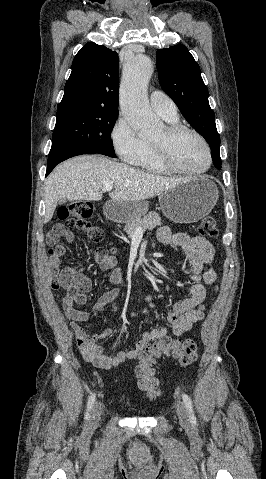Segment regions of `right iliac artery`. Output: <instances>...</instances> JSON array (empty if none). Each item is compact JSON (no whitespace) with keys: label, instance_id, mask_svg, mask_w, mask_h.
I'll return each instance as SVG.
<instances>
[{"label":"right iliac artery","instance_id":"82829eb1","mask_svg":"<svg viewBox=\"0 0 266 479\" xmlns=\"http://www.w3.org/2000/svg\"><path fill=\"white\" fill-rule=\"evenodd\" d=\"M95 398H96V394L95 393H92L91 396L89 397L88 399V402H87V412H86V415H85V418L86 419H89L90 418V411H91V408L95 402Z\"/></svg>","mask_w":266,"mask_h":479}]
</instances>
